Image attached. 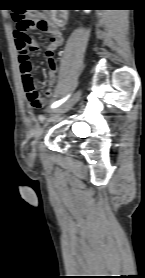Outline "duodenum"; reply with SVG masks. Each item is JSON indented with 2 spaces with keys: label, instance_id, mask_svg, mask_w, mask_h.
<instances>
[{
  "label": "duodenum",
  "instance_id": "410a0bca",
  "mask_svg": "<svg viewBox=\"0 0 145 278\" xmlns=\"http://www.w3.org/2000/svg\"><path fill=\"white\" fill-rule=\"evenodd\" d=\"M68 16L64 10L55 11L50 16V21L53 25L61 27L67 22Z\"/></svg>",
  "mask_w": 145,
  "mask_h": 278
}]
</instances>
